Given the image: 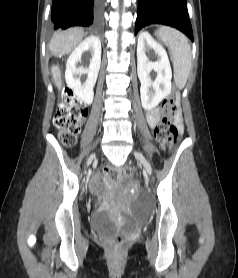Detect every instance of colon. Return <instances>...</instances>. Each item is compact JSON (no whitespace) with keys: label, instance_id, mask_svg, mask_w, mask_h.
<instances>
[{"label":"colon","instance_id":"1","mask_svg":"<svg viewBox=\"0 0 238 278\" xmlns=\"http://www.w3.org/2000/svg\"><path fill=\"white\" fill-rule=\"evenodd\" d=\"M176 97L174 94L166 97L160 107L161 120L155 128L156 140L164 150H170L178 141V117L176 111ZM88 109L71 90H65L54 117V126L64 146L70 147L76 143L81 125L87 117ZM132 173L131 167L121 169L107 167L105 175L110 183H117L123 177ZM112 249L118 250L123 245V238L115 235L109 239Z\"/></svg>","mask_w":238,"mask_h":278}]
</instances>
